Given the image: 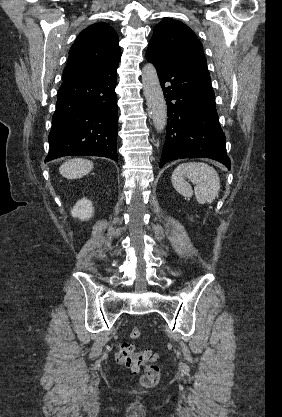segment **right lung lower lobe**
<instances>
[{"label":"right lung lower lobe","instance_id":"1","mask_svg":"<svg viewBox=\"0 0 282 417\" xmlns=\"http://www.w3.org/2000/svg\"><path fill=\"white\" fill-rule=\"evenodd\" d=\"M117 66L61 84L45 162L67 155L118 161Z\"/></svg>","mask_w":282,"mask_h":417}]
</instances>
